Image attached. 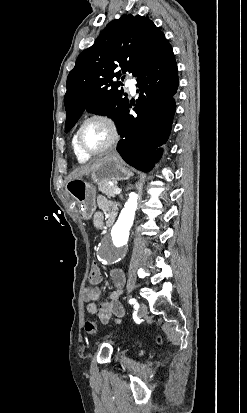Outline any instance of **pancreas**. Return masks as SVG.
<instances>
[{
    "instance_id": "pancreas-1",
    "label": "pancreas",
    "mask_w": 247,
    "mask_h": 413,
    "mask_svg": "<svg viewBox=\"0 0 247 413\" xmlns=\"http://www.w3.org/2000/svg\"><path fill=\"white\" fill-rule=\"evenodd\" d=\"M98 188L101 192H104V194H108V196H115V194H113V190L116 188V184H108V182H103V184H99Z\"/></svg>"
}]
</instances>
